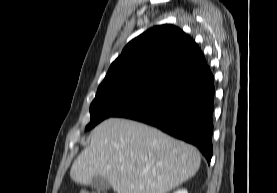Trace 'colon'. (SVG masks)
Returning <instances> with one entry per match:
<instances>
[{"mask_svg": "<svg viewBox=\"0 0 277 193\" xmlns=\"http://www.w3.org/2000/svg\"><path fill=\"white\" fill-rule=\"evenodd\" d=\"M79 193H96V192H90V191H87V190H81Z\"/></svg>", "mask_w": 277, "mask_h": 193, "instance_id": "colon-1", "label": "colon"}]
</instances>
